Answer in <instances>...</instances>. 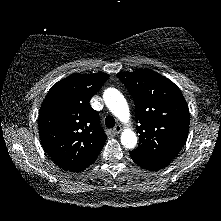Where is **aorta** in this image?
<instances>
[{"mask_svg": "<svg viewBox=\"0 0 221 221\" xmlns=\"http://www.w3.org/2000/svg\"><path fill=\"white\" fill-rule=\"evenodd\" d=\"M103 99L113 115L123 123L128 122L130 118L128 103L120 91L115 88H108L103 93ZM120 139L121 144L127 149H132L137 144L136 134L128 128L123 130Z\"/></svg>", "mask_w": 221, "mask_h": 221, "instance_id": "obj_1", "label": "aorta"}]
</instances>
